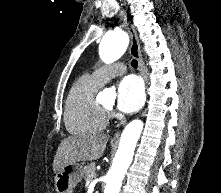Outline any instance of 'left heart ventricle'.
<instances>
[{"instance_id": "left-heart-ventricle-1", "label": "left heart ventricle", "mask_w": 221, "mask_h": 193, "mask_svg": "<svg viewBox=\"0 0 221 193\" xmlns=\"http://www.w3.org/2000/svg\"><path fill=\"white\" fill-rule=\"evenodd\" d=\"M114 104V98L106 100L103 105L107 108H112Z\"/></svg>"}]
</instances>
